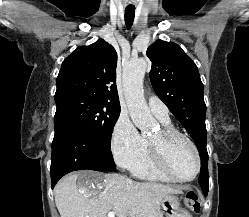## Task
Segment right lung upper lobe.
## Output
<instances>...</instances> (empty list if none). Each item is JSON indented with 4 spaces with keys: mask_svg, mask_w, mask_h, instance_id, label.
I'll use <instances>...</instances> for the list:
<instances>
[{
    "mask_svg": "<svg viewBox=\"0 0 249 217\" xmlns=\"http://www.w3.org/2000/svg\"><path fill=\"white\" fill-rule=\"evenodd\" d=\"M116 65L117 53L104 40L78 47L62 63L55 97L80 94L120 106Z\"/></svg>",
    "mask_w": 249,
    "mask_h": 217,
    "instance_id": "obj_1",
    "label": "right lung upper lobe"
}]
</instances>
